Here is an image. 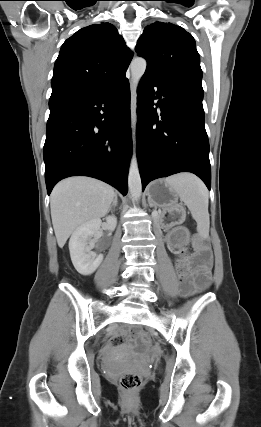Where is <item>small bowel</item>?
Listing matches in <instances>:
<instances>
[{
  "label": "small bowel",
  "instance_id": "1",
  "mask_svg": "<svg viewBox=\"0 0 261 427\" xmlns=\"http://www.w3.org/2000/svg\"><path fill=\"white\" fill-rule=\"evenodd\" d=\"M186 290L189 292V291H191V287L190 286H188L187 288H186ZM110 342H111V344H113V345H117V344H119L120 342H121V339L120 338H112L111 340H110Z\"/></svg>",
  "mask_w": 261,
  "mask_h": 427
}]
</instances>
